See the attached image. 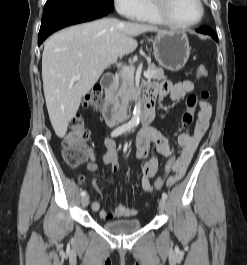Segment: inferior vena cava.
Masks as SVG:
<instances>
[{
	"instance_id": "obj_1",
	"label": "inferior vena cava",
	"mask_w": 247,
	"mask_h": 265,
	"mask_svg": "<svg viewBox=\"0 0 247 265\" xmlns=\"http://www.w3.org/2000/svg\"><path fill=\"white\" fill-rule=\"evenodd\" d=\"M128 104H129V97L126 94V92H124L122 102L120 105V109H119V113H118V122H124L126 120Z\"/></svg>"
}]
</instances>
